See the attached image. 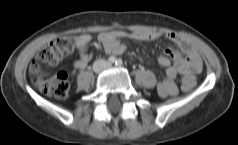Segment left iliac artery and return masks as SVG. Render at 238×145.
<instances>
[{"instance_id": "obj_1", "label": "left iliac artery", "mask_w": 238, "mask_h": 145, "mask_svg": "<svg viewBox=\"0 0 238 145\" xmlns=\"http://www.w3.org/2000/svg\"><path fill=\"white\" fill-rule=\"evenodd\" d=\"M115 64L120 67L123 64V61L121 59H117Z\"/></svg>"}]
</instances>
